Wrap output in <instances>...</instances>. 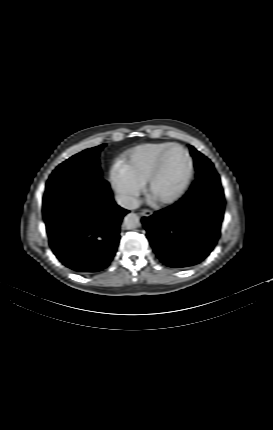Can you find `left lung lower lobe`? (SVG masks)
<instances>
[{
    "instance_id": "0a47b994",
    "label": "left lung lower lobe",
    "mask_w": 273,
    "mask_h": 430,
    "mask_svg": "<svg viewBox=\"0 0 273 430\" xmlns=\"http://www.w3.org/2000/svg\"><path fill=\"white\" fill-rule=\"evenodd\" d=\"M224 205L219 175L204 172L178 202L144 217L142 223L158 258L172 268L202 262L220 236Z\"/></svg>"
}]
</instances>
